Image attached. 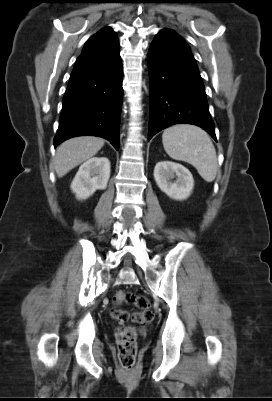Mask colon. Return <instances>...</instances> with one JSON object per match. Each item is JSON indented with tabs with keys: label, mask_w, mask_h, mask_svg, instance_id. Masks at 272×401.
I'll return each mask as SVG.
<instances>
[{
	"label": "colon",
	"mask_w": 272,
	"mask_h": 401,
	"mask_svg": "<svg viewBox=\"0 0 272 401\" xmlns=\"http://www.w3.org/2000/svg\"><path fill=\"white\" fill-rule=\"evenodd\" d=\"M123 303L133 304L139 309L138 312L121 311L118 309ZM111 315L120 322L136 321L149 323L154 318L148 299L142 295H136L127 291H118L113 297V308ZM118 358L121 367L126 371L134 368L137 354V337L132 327H120L116 333Z\"/></svg>",
	"instance_id": "colon-1"
}]
</instances>
